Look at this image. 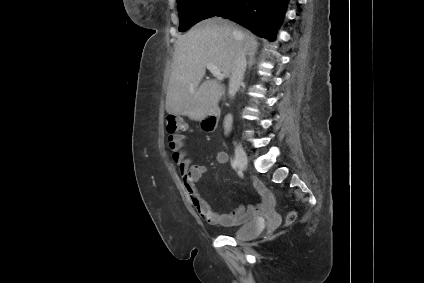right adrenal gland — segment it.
<instances>
[{
  "instance_id": "right-adrenal-gland-1",
  "label": "right adrenal gland",
  "mask_w": 424,
  "mask_h": 283,
  "mask_svg": "<svg viewBox=\"0 0 424 283\" xmlns=\"http://www.w3.org/2000/svg\"><path fill=\"white\" fill-rule=\"evenodd\" d=\"M255 53L256 52H252L249 54V60H248V68L250 69L252 67V65L255 63Z\"/></svg>"
}]
</instances>
